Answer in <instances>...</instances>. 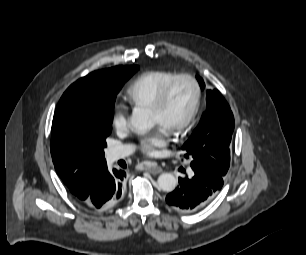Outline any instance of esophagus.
Returning <instances> with one entry per match:
<instances>
[{
    "instance_id": "esophagus-1",
    "label": "esophagus",
    "mask_w": 306,
    "mask_h": 255,
    "mask_svg": "<svg viewBox=\"0 0 306 255\" xmlns=\"http://www.w3.org/2000/svg\"><path fill=\"white\" fill-rule=\"evenodd\" d=\"M144 170L153 174V175H156V174H159L162 172V168L157 165L156 163H149L147 164L145 167H144Z\"/></svg>"
}]
</instances>
